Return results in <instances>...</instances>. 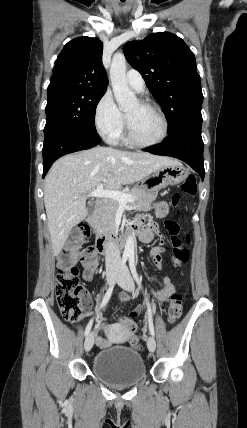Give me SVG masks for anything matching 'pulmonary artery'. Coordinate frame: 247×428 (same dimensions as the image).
Masks as SVG:
<instances>
[{
    "label": "pulmonary artery",
    "instance_id": "obj_1",
    "mask_svg": "<svg viewBox=\"0 0 247 428\" xmlns=\"http://www.w3.org/2000/svg\"><path fill=\"white\" fill-rule=\"evenodd\" d=\"M126 82L128 86L136 92H142L145 88V82L142 75L134 69L127 72Z\"/></svg>",
    "mask_w": 247,
    "mask_h": 428
}]
</instances>
